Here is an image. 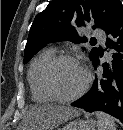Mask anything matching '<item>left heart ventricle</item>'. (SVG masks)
I'll return each mask as SVG.
<instances>
[{"label":"left heart ventricle","instance_id":"b2bd125f","mask_svg":"<svg viewBox=\"0 0 123 130\" xmlns=\"http://www.w3.org/2000/svg\"><path fill=\"white\" fill-rule=\"evenodd\" d=\"M86 79L83 67L75 61H64L56 70L55 83L63 95L76 93L84 84Z\"/></svg>","mask_w":123,"mask_h":130}]
</instances>
